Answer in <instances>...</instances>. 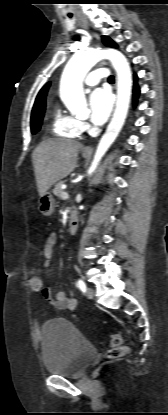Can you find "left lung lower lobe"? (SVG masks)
<instances>
[{"label":"left lung lower lobe","mask_w":168,"mask_h":415,"mask_svg":"<svg viewBox=\"0 0 168 415\" xmlns=\"http://www.w3.org/2000/svg\"><path fill=\"white\" fill-rule=\"evenodd\" d=\"M139 92H140V90H139V87L137 85V75L135 74L134 75V89H133V103H134V106H136V104H137V99H138Z\"/></svg>","instance_id":"1"}]
</instances>
